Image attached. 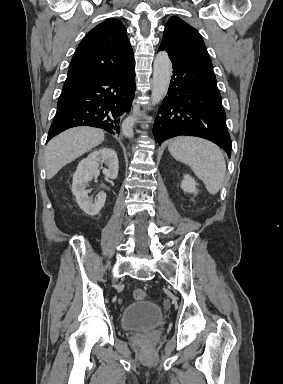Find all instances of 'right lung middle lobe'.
I'll use <instances>...</instances> for the list:
<instances>
[{"mask_svg": "<svg viewBox=\"0 0 283 384\" xmlns=\"http://www.w3.org/2000/svg\"><path fill=\"white\" fill-rule=\"evenodd\" d=\"M63 93H64V92L61 93L60 97H62Z\"/></svg>", "mask_w": 283, "mask_h": 384, "instance_id": "obj_1", "label": "right lung middle lobe"}]
</instances>
